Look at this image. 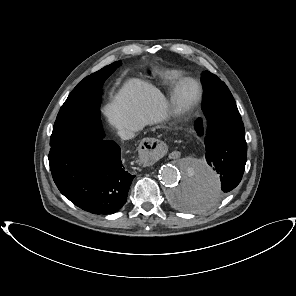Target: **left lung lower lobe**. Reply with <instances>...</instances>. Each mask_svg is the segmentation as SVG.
Listing matches in <instances>:
<instances>
[{
  "mask_svg": "<svg viewBox=\"0 0 296 296\" xmlns=\"http://www.w3.org/2000/svg\"><path fill=\"white\" fill-rule=\"evenodd\" d=\"M201 118L195 121V130L203 136L207 163L220 175L221 188L205 192L191 181L178 191V204L184 210H204L225 197L241 181L247 158L245 130L233 97L203 99Z\"/></svg>",
  "mask_w": 296,
  "mask_h": 296,
  "instance_id": "left-lung-lower-lobe-1",
  "label": "left lung lower lobe"
}]
</instances>
